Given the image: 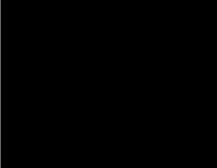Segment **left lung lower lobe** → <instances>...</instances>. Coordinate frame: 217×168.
Segmentation results:
<instances>
[{
  "label": "left lung lower lobe",
  "mask_w": 217,
  "mask_h": 168,
  "mask_svg": "<svg viewBox=\"0 0 217 168\" xmlns=\"http://www.w3.org/2000/svg\"><path fill=\"white\" fill-rule=\"evenodd\" d=\"M149 104L147 113H131L124 119L129 134L150 139L162 135L170 127L178 111L176 101L151 95Z\"/></svg>",
  "instance_id": "obj_1"
}]
</instances>
